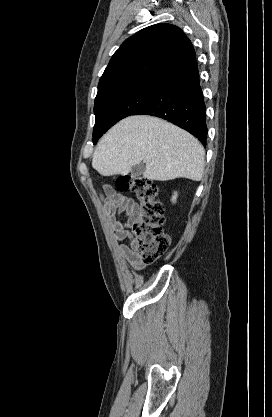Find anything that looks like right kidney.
I'll return each instance as SVG.
<instances>
[{"mask_svg": "<svg viewBox=\"0 0 272 417\" xmlns=\"http://www.w3.org/2000/svg\"><path fill=\"white\" fill-rule=\"evenodd\" d=\"M177 199V193L175 192L173 197H172V202L175 203Z\"/></svg>", "mask_w": 272, "mask_h": 417, "instance_id": "ca27d5eb", "label": "right kidney"}]
</instances>
